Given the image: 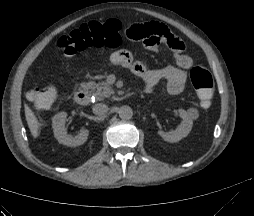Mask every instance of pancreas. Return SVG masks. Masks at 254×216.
Returning <instances> with one entry per match:
<instances>
[{"instance_id":"obj_1","label":"pancreas","mask_w":254,"mask_h":216,"mask_svg":"<svg viewBox=\"0 0 254 216\" xmlns=\"http://www.w3.org/2000/svg\"><path fill=\"white\" fill-rule=\"evenodd\" d=\"M86 86L92 91V94L95 96L96 100L99 101L104 100L113 93L111 86L105 81L99 83L91 81L88 82Z\"/></svg>"}]
</instances>
